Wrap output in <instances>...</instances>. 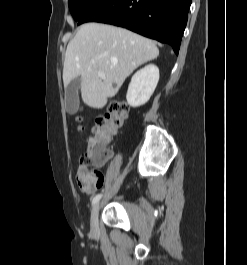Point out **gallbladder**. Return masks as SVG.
Segmentation results:
<instances>
[{
	"label": "gallbladder",
	"mask_w": 247,
	"mask_h": 265,
	"mask_svg": "<svg viewBox=\"0 0 247 265\" xmlns=\"http://www.w3.org/2000/svg\"><path fill=\"white\" fill-rule=\"evenodd\" d=\"M81 79L77 77L73 79L65 89L66 111L69 114H75L78 107V90L80 88Z\"/></svg>",
	"instance_id": "gallbladder-1"
}]
</instances>
